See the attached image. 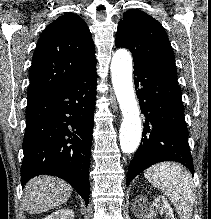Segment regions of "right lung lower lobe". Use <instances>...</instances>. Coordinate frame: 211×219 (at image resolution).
Instances as JSON below:
<instances>
[{
    "label": "right lung lower lobe",
    "mask_w": 211,
    "mask_h": 219,
    "mask_svg": "<svg viewBox=\"0 0 211 219\" xmlns=\"http://www.w3.org/2000/svg\"><path fill=\"white\" fill-rule=\"evenodd\" d=\"M96 80L95 66L28 101L22 184L37 175H55L73 186L88 205Z\"/></svg>",
    "instance_id": "98d812e1"
}]
</instances>
